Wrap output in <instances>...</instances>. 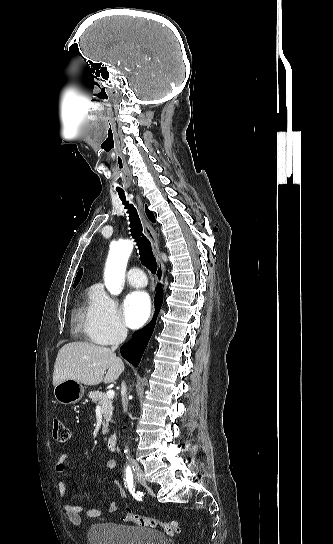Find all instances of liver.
<instances>
[{
    "label": "liver",
    "instance_id": "liver-1",
    "mask_svg": "<svg viewBox=\"0 0 333 544\" xmlns=\"http://www.w3.org/2000/svg\"><path fill=\"white\" fill-rule=\"evenodd\" d=\"M124 368V363L112 349L88 342H71L57 354L53 385L67 379L89 386L102 381L108 384L117 380Z\"/></svg>",
    "mask_w": 333,
    "mask_h": 544
}]
</instances>
